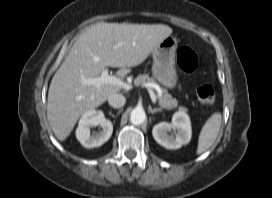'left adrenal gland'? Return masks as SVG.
I'll return each instance as SVG.
<instances>
[{"instance_id":"obj_1","label":"left adrenal gland","mask_w":272,"mask_h":198,"mask_svg":"<svg viewBox=\"0 0 272 198\" xmlns=\"http://www.w3.org/2000/svg\"><path fill=\"white\" fill-rule=\"evenodd\" d=\"M161 111H162L161 108H155V109L149 108V112H150L151 114H154V113H157V112H161Z\"/></svg>"}]
</instances>
